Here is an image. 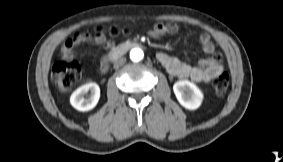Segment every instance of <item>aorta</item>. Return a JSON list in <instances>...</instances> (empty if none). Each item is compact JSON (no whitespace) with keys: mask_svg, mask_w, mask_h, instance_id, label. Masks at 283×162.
Returning a JSON list of instances; mask_svg holds the SVG:
<instances>
[{"mask_svg":"<svg viewBox=\"0 0 283 162\" xmlns=\"http://www.w3.org/2000/svg\"><path fill=\"white\" fill-rule=\"evenodd\" d=\"M144 53L140 48H134L130 51V59L133 62H139L143 59Z\"/></svg>","mask_w":283,"mask_h":162,"instance_id":"aorta-1","label":"aorta"}]
</instances>
